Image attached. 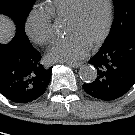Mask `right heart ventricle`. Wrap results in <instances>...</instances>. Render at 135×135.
Listing matches in <instances>:
<instances>
[{
	"instance_id": "e07e8e85",
	"label": "right heart ventricle",
	"mask_w": 135,
	"mask_h": 135,
	"mask_svg": "<svg viewBox=\"0 0 135 135\" xmlns=\"http://www.w3.org/2000/svg\"><path fill=\"white\" fill-rule=\"evenodd\" d=\"M77 0H47L44 10L55 20H65Z\"/></svg>"
}]
</instances>
